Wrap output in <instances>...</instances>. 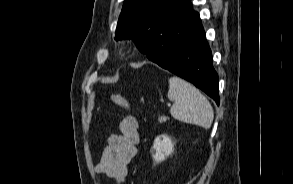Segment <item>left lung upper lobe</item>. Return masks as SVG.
<instances>
[{
  "mask_svg": "<svg viewBox=\"0 0 293 184\" xmlns=\"http://www.w3.org/2000/svg\"><path fill=\"white\" fill-rule=\"evenodd\" d=\"M183 1L125 0L115 32L116 40L131 38L147 57L154 56L149 46L168 30L171 16Z\"/></svg>",
  "mask_w": 293,
  "mask_h": 184,
  "instance_id": "left-lung-upper-lobe-1",
  "label": "left lung upper lobe"
}]
</instances>
